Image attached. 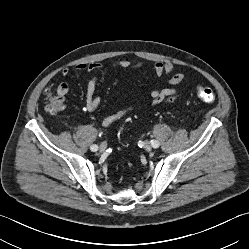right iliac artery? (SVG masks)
<instances>
[{
	"label": "right iliac artery",
	"instance_id": "82829eb1",
	"mask_svg": "<svg viewBox=\"0 0 249 249\" xmlns=\"http://www.w3.org/2000/svg\"><path fill=\"white\" fill-rule=\"evenodd\" d=\"M90 149H91L92 151H97V150H98V146H97V145H92V146L90 147Z\"/></svg>",
	"mask_w": 249,
	"mask_h": 249
}]
</instances>
